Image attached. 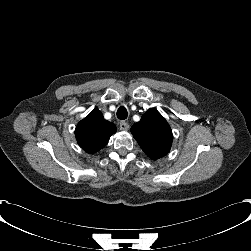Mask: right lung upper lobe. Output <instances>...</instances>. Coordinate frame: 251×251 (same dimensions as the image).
<instances>
[{
  "label": "right lung upper lobe",
  "instance_id": "obj_1",
  "mask_svg": "<svg viewBox=\"0 0 251 251\" xmlns=\"http://www.w3.org/2000/svg\"><path fill=\"white\" fill-rule=\"evenodd\" d=\"M115 132L116 126L105 120L102 113L95 108L78 123L75 136L79 146L92 154L103 148Z\"/></svg>",
  "mask_w": 251,
  "mask_h": 251
}]
</instances>
